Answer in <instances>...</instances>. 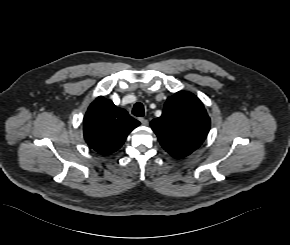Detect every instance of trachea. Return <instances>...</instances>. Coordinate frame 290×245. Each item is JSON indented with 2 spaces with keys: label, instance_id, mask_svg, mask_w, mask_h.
I'll list each match as a JSON object with an SVG mask.
<instances>
[{
  "label": "trachea",
  "instance_id": "obj_1",
  "mask_svg": "<svg viewBox=\"0 0 290 245\" xmlns=\"http://www.w3.org/2000/svg\"><path fill=\"white\" fill-rule=\"evenodd\" d=\"M132 113L137 117L144 116V106L142 105V103H136L133 107Z\"/></svg>",
  "mask_w": 290,
  "mask_h": 245
}]
</instances>
